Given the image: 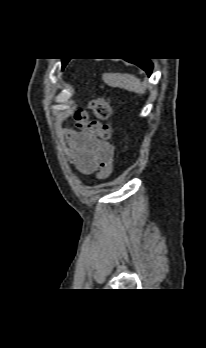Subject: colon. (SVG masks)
<instances>
[{
	"mask_svg": "<svg viewBox=\"0 0 206 348\" xmlns=\"http://www.w3.org/2000/svg\"><path fill=\"white\" fill-rule=\"evenodd\" d=\"M90 110L96 119H90L85 111H79L75 115L76 127L86 134L109 139L111 137V126L104 121L109 117L111 108L109 102L104 98H98L90 103Z\"/></svg>",
	"mask_w": 206,
	"mask_h": 348,
	"instance_id": "1",
	"label": "colon"
}]
</instances>
